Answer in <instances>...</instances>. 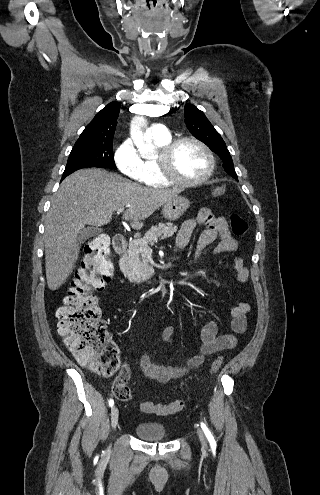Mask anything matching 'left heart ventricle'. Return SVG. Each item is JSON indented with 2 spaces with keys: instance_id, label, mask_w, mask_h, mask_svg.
I'll list each match as a JSON object with an SVG mask.
<instances>
[{
  "instance_id": "left-heart-ventricle-1",
  "label": "left heart ventricle",
  "mask_w": 320,
  "mask_h": 495,
  "mask_svg": "<svg viewBox=\"0 0 320 495\" xmlns=\"http://www.w3.org/2000/svg\"><path fill=\"white\" fill-rule=\"evenodd\" d=\"M173 167L180 177L197 179L207 172L208 159L196 144L185 142L174 153Z\"/></svg>"
}]
</instances>
